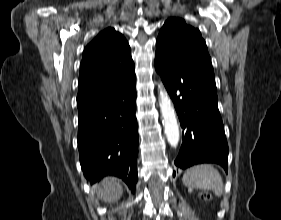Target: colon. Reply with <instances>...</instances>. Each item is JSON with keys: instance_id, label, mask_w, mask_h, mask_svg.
Instances as JSON below:
<instances>
[{"instance_id": "colon-1", "label": "colon", "mask_w": 281, "mask_h": 220, "mask_svg": "<svg viewBox=\"0 0 281 220\" xmlns=\"http://www.w3.org/2000/svg\"><path fill=\"white\" fill-rule=\"evenodd\" d=\"M204 198H205V199H209L210 196H209L208 194H205V195H204Z\"/></svg>"}]
</instances>
